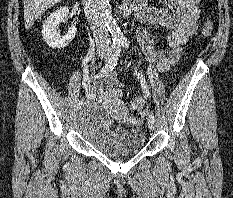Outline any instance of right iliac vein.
I'll list each match as a JSON object with an SVG mask.
<instances>
[{
    "mask_svg": "<svg viewBox=\"0 0 233 198\" xmlns=\"http://www.w3.org/2000/svg\"><path fill=\"white\" fill-rule=\"evenodd\" d=\"M101 58H102V59H106V58H107V54H106V53H103V54L101 55ZM79 110H81V108H78V109H77V111H79Z\"/></svg>",
    "mask_w": 233,
    "mask_h": 198,
    "instance_id": "63e3f726",
    "label": "right iliac vein"
}]
</instances>
